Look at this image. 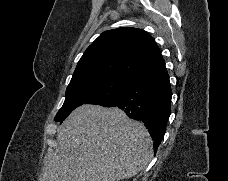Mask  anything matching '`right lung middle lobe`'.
Instances as JSON below:
<instances>
[{
  "label": "right lung middle lobe",
  "mask_w": 228,
  "mask_h": 181,
  "mask_svg": "<svg viewBox=\"0 0 228 181\" xmlns=\"http://www.w3.org/2000/svg\"><path fill=\"white\" fill-rule=\"evenodd\" d=\"M131 78L113 75H92L70 82L63 106L54 120L62 123L72 110L83 104H101L116 96Z\"/></svg>",
  "instance_id": "obj_1"
}]
</instances>
